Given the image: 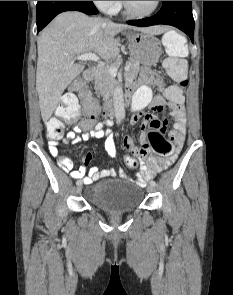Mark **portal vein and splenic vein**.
Listing matches in <instances>:
<instances>
[{
  "mask_svg": "<svg viewBox=\"0 0 233 295\" xmlns=\"http://www.w3.org/2000/svg\"><path fill=\"white\" fill-rule=\"evenodd\" d=\"M75 59L82 60V61H88V60L95 61V62L100 61L99 56H97L95 53H86V54L78 55L77 57H75ZM129 68H130L129 65H126L124 69L127 71L129 70ZM108 71L112 76H116L118 72V67L111 65L109 66Z\"/></svg>",
  "mask_w": 233,
  "mask_h": 295,
  "instance_id": "obj_1",
  "label": "portal vein and splenic vein"
}]
</instances>
